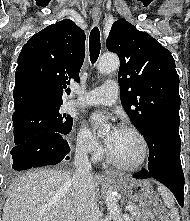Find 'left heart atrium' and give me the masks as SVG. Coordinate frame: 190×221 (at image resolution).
<instances>
[{"label": "left heart atrium", "mask_w": 190, "mask_h": 221, "mask_svg": "<svg viewBox=\"0 0 190 221\" xmlns=\"http://www.w3.org/2000/svg\"><path fill=\"white\" fill-rule=\"evenodd\" d=\"M104 119H105V117H104L102 114H94V115L92 116V121H93L94 123H98V122H100V121H102V120H104ZM117 130H118V128H117L116 126H114V127L111 129L110 133H111V134H114Z\"/></svg>", "instance_id": "1"}]
</instances>
